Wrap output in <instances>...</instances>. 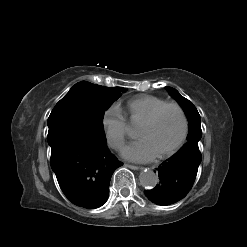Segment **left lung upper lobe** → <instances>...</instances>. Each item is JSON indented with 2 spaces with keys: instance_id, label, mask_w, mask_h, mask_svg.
Instances as JSON below:
<instances>
[{
  "instance_id": "5c2ea615",
  "label": "left lung upper lobe",
  "mask_w": 247,
  "mask_h": 247,
  "mask_svg": "<svg viewBox=\"0 0 247 247\" xmlns=\"http://www.w3.org/2000/svg\"><path fill=\"white\" fill-rule=\"evenodd\" d=\"M169 94L177 100V102L184 109L188 121H189V133H188V141L197 142L200 140L202 136L201 125H200V115L193 105L191 101L183 97L178 93L177 90L171 87H166Z\"/></svg>"
}]
</instances>
